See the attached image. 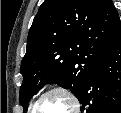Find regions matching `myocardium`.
Returning <instances> with one entry per match:
<instances>
[{
  "label": "myocardium",
  "mask_w": 121,
  "mask_h": 113,
  "mask_svg": "<svg viewBox=\"0 0 121 113\" xmlns=\"http://www.w3.org/2000/svg\"><path fill=\"white\" fill-rule=\"evenodd\" d=\"M54 93H60L62 94L65 98H67L70 102H71V112L69 113H73L72 111L75 110H79L80 109V102L78 97L71 92L69 89L62 87V86H57L54 88H51L49 90H47L46 92H44L43 94L40 95V97L36 100L33 110L34 113H39V106L41 104V102L49 95L54 94Z\"/></svg>",
  "instance_id": "myocardium-1"
}]
</instances>
